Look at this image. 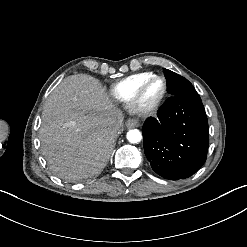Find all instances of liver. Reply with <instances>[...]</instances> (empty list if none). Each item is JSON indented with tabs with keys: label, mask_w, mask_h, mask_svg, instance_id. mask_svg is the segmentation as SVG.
Returning a JSON list of instances; mask_svg holds the SVG:
<instances>
[{
	"label": "liver",
	"mask_w": 247,
	"mask_h": 247,
	"mask_svg": "<svg viewBox=\"0 0 247 247\" xmlns=\"http://www.w3.org/2000/svg\"><path fill=\"white\" fill-rule=\"evenodd\" d=\"M123 118L98 79L65 78L45 103L39 130L50 169L71 182L98 174L113 150L111 128L122 127Z\"/></svg>",
	"instance_id": "1"
}]
</instances>
